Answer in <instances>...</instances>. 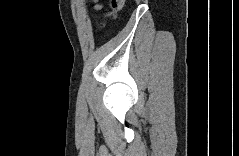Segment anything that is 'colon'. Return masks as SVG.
<instances>
[{
  "mask_svg": "<svg viewBox=\"0 0 239 156\" xmlns=\"http://www.w3.org/2000/svg\"><path fill=\"white\" fill-rule=\"evenodd\" d=\"M124 0H110V10L107 12L109 19H114L116 14L122 9Z\"/></svg>",
  "mask_w": 239,
  "mask_h": 156,
  "instance_id": "colon-1",
  "label": "colon"
}]
</instances>
